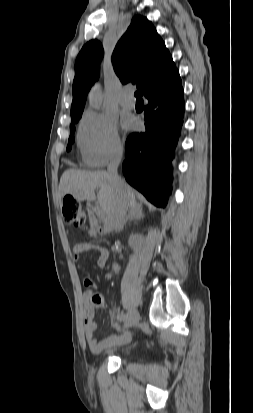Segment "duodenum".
<instances>
[{
    "instance_id": "duodenum-1",
    "label": "duodenum",
    "mask_w": 253,
    "mask_h": 413,
    "mask_svg": "<svg viewBox=\"0 0 253 413\" xmlns=\"http://www.w3.org/2000/svg\"><path fill=\"white\" fill-rule=\"evenodd\" d=\"M88 211H89V213H90L92 216H94V208H93V206L88 205Z\"/></svg>"
}]
</instances>
